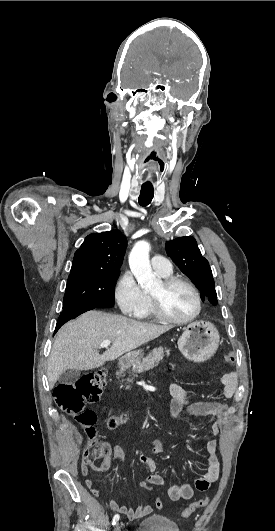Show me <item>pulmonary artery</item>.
Here are the masks:
<instances>
[{
    "mask_svg": "<svg viewBox=\"0 0 275 531\" xmlns=\"http://www.w3.org/2000/svg\"><path fill=\"white\" fill-rule=\"evenodd\" d=\"M152 263L155 272L169 274L172 271L169 261H164V256L162 254H154L152 256Z\"/></svg>",
    "mask_w": 275,
    "mask_h": 531,
    "instance_id": "1",
    "label": "pulmonary artery"
}]
</instances>
